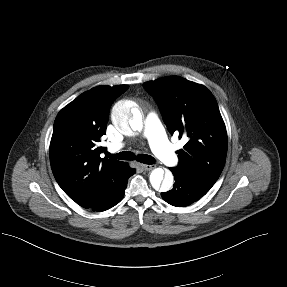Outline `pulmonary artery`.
I'll return each instance as SVG.
<instances>
[{
	"label": "pulmonary artery",
	"mask_w": 287,
	"mask_h": 287,
	"mask_svg": "<svg viewBox=\"0 0 287 287\" xmlns=\"http://www.w3.org/2000/svg\"><path fill=\"white\" fill-rule=\"evenodd\" d=\"M144 136L149 140L153 152L168 166H175L178 157L167 140L159 118L153 112L149 113L145 120ZM123 147L122 143L112 144V151H117Z\"/></svg>",
	"instance_id": "pulmonary-artery-1"
}]
</instances>
